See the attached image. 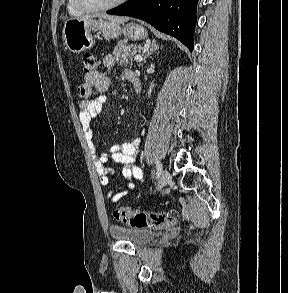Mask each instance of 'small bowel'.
<instances>
[{
	"label": "small bowel",
	"mask_w": 288,
	"mask_h": 293,
	"mask_svg": "<svg viewBox=\"0 0 288 293\" xmlns=\"http://www.w3.org/2000/svg\"><path fill=\"white\" fill-rule=\"evenodd\" d=\"M103 64L110 70L114 67L115 61L112 55L108 54L103 58ZM124 77L131 82L136 77L132 71H125ZM111 79L106 71L95 72L84 76V82L79 86L78 93L81 101L78 105L79 121L87 141L89 149L96 153L94 143L93 123L102 112L106 103L104 93L109 89ZM94 91L98 93L93 96ZM140 139L136 138L130 142L122 144H114L110 146L107 153H99L95 160V167L99 175L101 184L108 188L107 199L111 205L119 202V200L127 195L137 191L134 180L144 183L145 177L142 170L135 165L139 153ZM110 161L121 163L124 165L123 176L127 182L118 186L116 189L109 188L110 177L114 171L109 167Z\"/></svg>",
	"instance_id": "small-bowel-1"
}]
</instances>
